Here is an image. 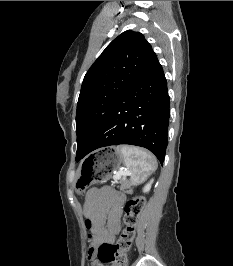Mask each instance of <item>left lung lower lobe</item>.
Instances as JSON below:
<instances>
[{
  "label": "left lung lower lobe",
  "instance_id": "0a47b994",
  "mask_svg": "<svg viewBox=\"0 0 233 266\" xmlns=\"http://www.w3.org/2000/svg\"><path fill=\"white\" fill-rule=\"evenodd\" d=\"M169 108L167 81L153 53L78 160L101 147L130 144L149 149L163 164L168 145Z\"/></svg>",
  "mask_w": 233,
  "mask_h": 266
}]
</instances>
